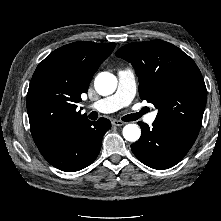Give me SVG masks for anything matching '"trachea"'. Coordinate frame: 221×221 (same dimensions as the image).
I'll return each mask as SVG.
<instances>
[{
	"label": "trachea",
	"mask_w": 221,
	"mask_h": 221,
	"mask_svg": "<svg viewBox=\"0 0 221 221\" xmlns=\"http://www.w3.org/2000/svg\"><path fill=\"white\" fill-rule=\"evenodd\" d=\"M144 112L136 113V114H129L122 118L123 121H134L137 120Z\"/></svg>",
	"instance_id": "1"
}]
</instances>
